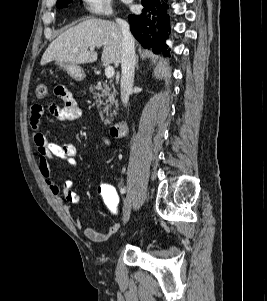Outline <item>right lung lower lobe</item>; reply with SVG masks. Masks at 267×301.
<instances>
[{
	"instance_id": "1",
	"label": "right lung lower lobe",
	"mask_w": 267,
	"mask_h": 301,
	"mask_svg": "<svg viewBox=\"0 0 267 301\" xmlns=\"http://www.w3.org/2000/svg\"><path fill=\"white\" fill-rule=\"evenodd\" d=\"M144 9L139 15H129L130 29L144 48L154 53H167L165 40L169 31L168 5L163 0H144Z\"/></svg>"
}]
</instances>
